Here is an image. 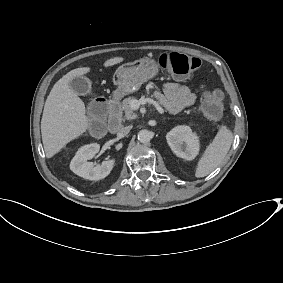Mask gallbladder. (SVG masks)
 Instances as JSON below:
<instances>
[{
	"label": "gallbladder",
	"mask_w": 283,
	"mask_h": 283,
	"mask_svg": "<svg viewBox=\"0 0 283 283\" xmlns=\"http://www.w3.org/2000/svg\"><path fill=\"white\" fill-rule=\"evenodd\" d=\"M70 86L79 95H87L91 91V82L86 77L73 79Z\"/></svg>",
	"instance_id": "bac80fb5"
}]
</instances>
